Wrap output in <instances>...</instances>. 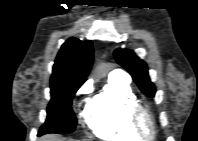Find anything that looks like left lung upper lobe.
<instances>
[{
    "label": "left lung upper lobe",
    "mask_w": 198,
    "mask_h": 141,
    "mask_svg": "<svg viewBox=\"0 0 198 141\" xmlns=\"http://www.w3.org/2000/svg\"><path fill=\"white\" fill-rule=\"evenodd\" d=\"M114 55L117 62L132 75L140 90L147 97L153 98L156 89L150 81L146 63L131 50L117 49Z\"/></svg>",
    "instance_id": "left-lung-upper-lobe-1"
}]
</instances>
